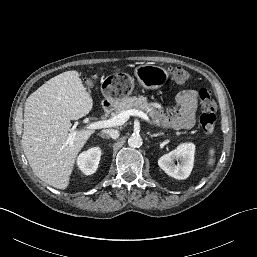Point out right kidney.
Returning <instances> with one entry per match:
<instances>
[{
	"instance_id": "obj_1",
	"label": "right kidney",
	"mask_w": 257,
	"mask_h": 257,
	"mask_svg": "<svg viewBox=\"0 0 257 257\" xmlns=\"http://www.w3.org/2000/svg\"><path fill=\"white\" fill-rule=\"evenodd\" d=\"M100 158L101 149L93 147L79 155L77 165L85 175H91L96 172Z\"/></svg>"
}]
</instances>
